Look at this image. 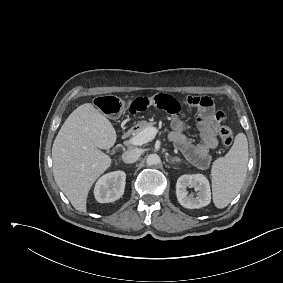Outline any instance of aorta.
Returning <instances> with one entry per match:
<instances>
[{
	"instance_id": "obj_1",
	"label": "aorta",
	"mask_w": 283,
	"mask_h": 283,
	"mask_svg": "<svg viewBox=\"0 0 283 283\" xmlns=\"http://www.w3.org/2000/svg\"><path fill=\"white\" fill-rule=\"evenodd\" d=\"M161 159L159 157V155L157 154H150L147 156V159H146V163L149 165V166H153V165H158L160 163Z\"/></svg>"
}]
</instances>
